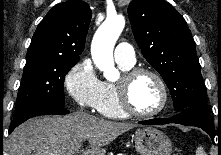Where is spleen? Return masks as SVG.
I'll return each mask as SVG.
<instances>
[{
    "label": "spleen",
    "mask_w": 221,
    "mask_h": 155,
    "mask_svg": "<svg viewBox=\"0 0 221 155\" xmlns=\"http://www.w3.org/2000/svg\"><path fill=\"white\" fill-rule=\"evenodd\" d=\"M196 155H207L204 149L200 146L196 150Z\"/></svg>",
    "instance_id": "3e777b00"
}]
</instances>
